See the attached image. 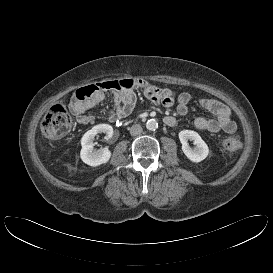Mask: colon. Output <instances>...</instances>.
I'll return each instance as SVG.
<instances>
[{
	"label": "colon",
	"instance_id": "colon-1",
	"mask_svg": "<svg viewBox=\"0 0 273 273\" xmlns=\"http://www.w3.org/2000/svg\"><path fill=\"white\" fill-rule=\"evenodd\" d=\"M130 79H121L87 85L76 90L74 100L84 101L91 98L96 92L102 89L119 90L129 89L133 86ZM72 118L62 102L52 105L45 114L41 129L43 135L50 140L61 139L66 136L72 127ZM221 146L228 152L238 151L242 147V142L238 137H226L222 139Z\"/></svg>",
	"mask_w": 273,
	"mask_h": 273
}]
</instances>
